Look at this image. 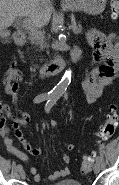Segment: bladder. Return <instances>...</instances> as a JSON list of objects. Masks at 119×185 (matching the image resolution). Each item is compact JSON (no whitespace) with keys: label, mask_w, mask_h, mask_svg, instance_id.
Instances as JSON below:
<instances>
[{"label":"bladder","mask_w":119,"mask_h":185,"mask_svg":"<svg viewBox=\"0 0 119 185\" xmlns=\"http://www.w3.org/2000/svg\"><path fill=\"white\" fill-rule=\"evenodd\" d=\"M53 185H82V183L74 179H65Z\"/></svg>","instance_id":"1"}]
</instances>
